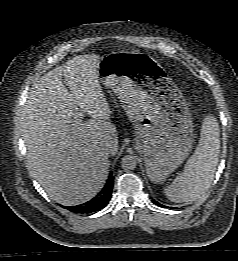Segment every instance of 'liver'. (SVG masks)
Wrapping results in <instances>:
<instances>
[{"instance_id":"obj_1","label":"liver","mask_w":238,"mask_h":261,"mask_svg":"<svg viewBox=\"0 0 238 261\" xmlns=\"http://www.w3.org/2000/svg\"><path fill=\"white\" fill-rule=\"evenodd\" d=\"M100 59L98 55L75 56L40 77L20 120L29 173L54 201L65 206L82 204L100 192L109 172V154L118 151L112 111L97 76ZM77 105L91 119L77 121Z\"/></svg>"}]
</instances>
